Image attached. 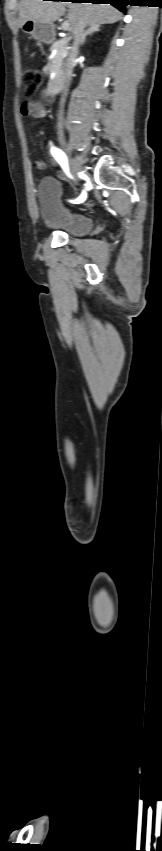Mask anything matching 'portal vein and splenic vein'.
<instances>
[{
  "mask_svg": "<svg viewBox=\"0 0 162 851\" xmlns=\"http://www.w3.org/2000/svg\"><path fill=\"white\" fill-rule=\"evenodd\" d=\"M62 29H63L64 31H67V30H69V29H70V23H69V21H64V22H63V24H62Z\"/></svg>",
  "mask_w": 162,
  "mask_h": 851,
  "instance_id": "1",
  "label": "portal vein and splenic vein"
}]
</instances>
